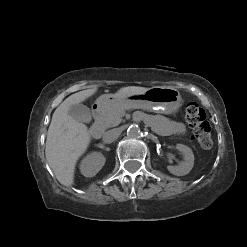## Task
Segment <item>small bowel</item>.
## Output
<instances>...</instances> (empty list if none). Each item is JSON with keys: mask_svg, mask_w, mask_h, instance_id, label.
<instances>
[{"mask_svg": "<svg viewBox=\"0 0 247 247\" xmlns=\"http://www.w3.org/2000/svg\"><path fill=\"white\" fill-rule=\"evenodd\" d=\"M149 123L154 127L157 133L161 135H168L171 133H183L185 127L181 123L171 121L162 116L147 117Z\"/></svg>", "mask_w": 247, "mask_h": 247, "instance_id": "c3829d8e", "label": "small bowel"}]
</instances>
